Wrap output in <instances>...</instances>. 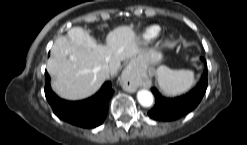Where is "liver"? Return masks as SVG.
Segmentation results:
<instances>
[{
  "instance_id": "1",
  "label": "liver",
  "mask_w": 247,
  "mask_h": 145,
  "mask_svg": "<svg viewBox=\"0 0 247 145\" xmlns=\"http://www.w3.org/2000/svg\"><path fill=\"white\" fill-rule=\"evenodd\" d=\"M142 52L133 25L109 32L105 45L97 44L82 28H71L67 36L55 40L47 61V71L54 77L52 89L64 99L87 98L99 90L109 74L118 72L121 61ZM105 67L109 69L108 75Z\"/></svg>"
}]
</instances>
